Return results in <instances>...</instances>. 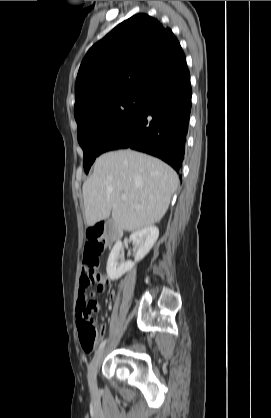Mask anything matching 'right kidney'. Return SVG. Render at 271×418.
<instances>
[{
	"label": "right kidney",
	"mask_w": 271,
	"mask_h": 418,
	"mask_svg": "<svg viewBox=\"0 0 271 418\" xmlns=\"http://www.w3.org/2000/svg\"><path fill=\"white\" fill-rule=\"evenodd\" d=\"M159 237V229L156 226H148L130 235V240L137 247V253L134 261L125 262L122 260L118 262L122 248V242L117 241L113 246L107 261V275L111 280H117L126 272L131 270L135 263L142 260L151 250Z\"/></svg>",
	"instance_id": "ca27d5eb"
}]
</instances>
